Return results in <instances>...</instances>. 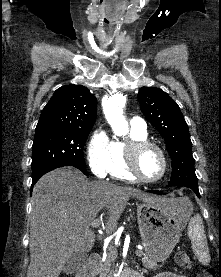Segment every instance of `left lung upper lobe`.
I'll return each instance as SVG.
<instances>
[{"label": "left lung upper lobe", "instance_id": "obj_1", "mask_svg": "<svg viewBox=\"0 0 221 277\" xmlns=\"http://www.w3.org/2000/svg\"><path fill=\"white\" fill-rule=\"evenodd\" d=\"M140 109L166 142L172 159L170 186L198 185L188 126L178 104L159 88L142 87Z\"/></svg>", "mask_w": 221, "mask_h": 277}]
</instances>
